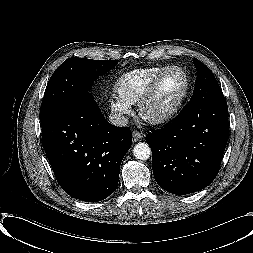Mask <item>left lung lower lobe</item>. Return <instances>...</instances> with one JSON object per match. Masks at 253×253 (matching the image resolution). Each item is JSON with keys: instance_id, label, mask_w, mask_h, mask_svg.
I'll use <instances>...</instances> for the list:
<instances>
[{"instance_id": "left-lung-lower-lobe-1", "label": "left lung lower lobe", "mask_w": 253, "mask_h": 253, "mask_svg": "<svg viewBox=\"0 0 253 253\" xmlns=\"http://www.w3.org/2000/svg\"><path fill=\"white\" fill-rule=\"evenodd\" d=\"M228 137L224 96L203 106L189 103L170 124L146 136L156 182L176 195L205 188L219 171Z\"/></svg>"}]
</instances>
